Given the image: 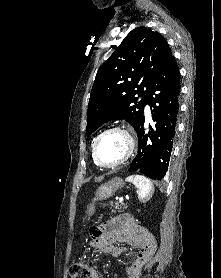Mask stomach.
<instances>
[{
  "label": "stomach",
  "mask_w": 221,
  "mask_h": 278,
  "mask_svg": "<svg viewBox=\"0 0 221 278\" xmlns=\"http://www.w3.org/2000/svg\"><path fill=\"white\" fill-rule=\"evenodd\" d=\"M124 187V182L121 178H114L111 181L102 184L96 191L95 198L92 203L89 204L87 208V215L91 216L95 212V203L96 201H101L107 198H110L114 195V193Z\"/></svg>",
  "instance_id": "obj_1"
}]
</instances>
